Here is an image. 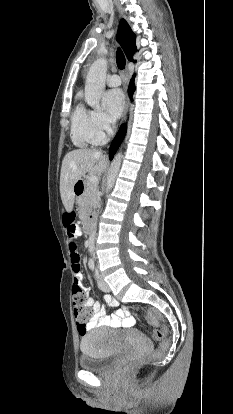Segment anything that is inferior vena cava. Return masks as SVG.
<instances>
[{
    "mask_svg": "<svg viewBox=\"0 0 233 414\" xmlns=\"http://www.w3.org/2000/svg\"><path fill=\"white\" fill-rule=\"evenodd\" d=\"M112 124H115V120L112 121ZM89 247H90V255L92 256V253H95V245L94 243L96 242V233L95 230H92V232L89 233Z\"/></svg>",
    "mask_w": 233,
    "mask_h": 414,
    "instance_id": "obj_1",
    "label": "inferior vena cava"
}]
</instances>
